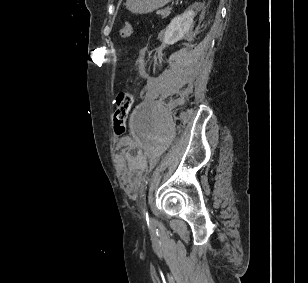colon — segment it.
Returning a JSON list of instances; mask_svg holds the SVG:
<instances>
[{
    "instance_id": "colon-1",
    "label": "colon",
    "mask_w": 308,
    "mask_h": 283,
    "mask_svg": "<svg viewBox=\"0 0 308 283\" xmlns=\"http://www.w3.org/2000/svg\"><path fill=\"white\" fill-rule=\"evenodd\" d=\"M133 32L131 23L125 24L120 30L119 35L122 38L129 37ZM134 102V96L130 92L119 93L115 101L113 112V128L117 135H122L126 131L130 110Z\"/></svg>"
}]
</instances>
